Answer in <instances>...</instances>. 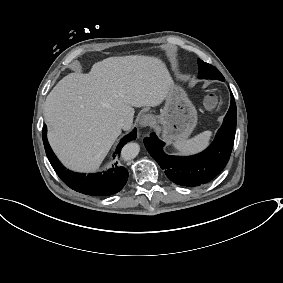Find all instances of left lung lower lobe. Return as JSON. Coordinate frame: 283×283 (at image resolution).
Instances as JSON below:
<instances>
[{
    "mask_svg": "<svg viewBox=\"0 0 283 283\" xmlns=\"http://www.w3.org/2000/svg\"><path fill=\"white\" fill-rule=\"evenodd\" d=\"M235 131L236 105L231 93V104L223 125L205 151L189 157L167 155L163 152L164 142L154 133L144 139V144L169 180L177 185L194 187L208 183L224 169L231 155Z\"/></svg>",
    "mask_w": 283,
    "mask_h": 283,
    "instance_id": "1",
    "label": "left lung lower lobe"
}]
</instances>
